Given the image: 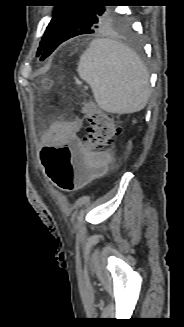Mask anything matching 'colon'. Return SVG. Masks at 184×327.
Instances as JSON below:
<instances>
[{"label":"colon","mask_w":184,"mask_h":327,"mask_svg":"<svg viewBox=\"0 0 184 327\" xmlns=\"http://www.w3.org/2000/svg\"><path fill=\"white\" fill-rule=\"evenodd\" d=\"M45 82L43 88H48ZM82 113L89 125L74 151L68 145L48 146L41 151V161L50 181L64 192L80 188L91 175L106 164L107 148L120 132V121L90 102H84Z\"/></svg>","instance_id":"1"}]
</instances>
